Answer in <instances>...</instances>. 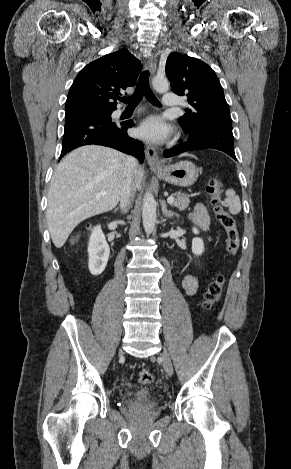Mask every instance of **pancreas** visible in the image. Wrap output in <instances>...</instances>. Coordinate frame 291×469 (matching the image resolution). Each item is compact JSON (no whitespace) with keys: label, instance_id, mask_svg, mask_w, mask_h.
Listing matches in <instances>:
<instances>
[{"label":"pancreas","instance_id":"pancreas-1","mask_svg":"<svg viewBox=\"0 0 291 469\" xmlns=\"http://www.w3.org/2000/svg\"><path fill=\"white\" fill-rule=\"evenodd\" d=\"M175 201L172 203V206L177 207L179 210H185L189 206V197L183 193L177 192L174 194Z\"/></svg>","mask_w":291,"mask_h":469}]
</instances>
